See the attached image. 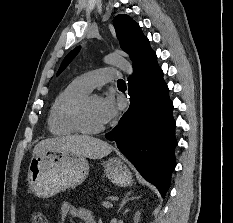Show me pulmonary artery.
Instances as JSON below:
<instances>
[{"label": "pulmonary artery", "mask_w": 233, "mask_h": 223, "mask_svg": "<svg viewBox=\"0 0 233 223\" xmlns=\"http://www.w3.org/2000/svg\"><path fill=\"white\" fill-rule=\"evenodd\" d=\"M82 85L91 92L113 79H122V71L112 69H97L82 74L77 78Z\"/></svg>", "instance_id": "e3ab8cb5"}]
</instances>
